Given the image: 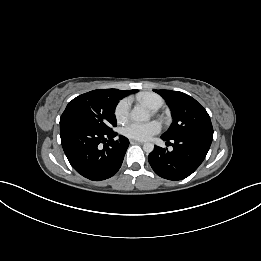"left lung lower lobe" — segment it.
Segmentation results:
<instances>
[{
    "label": "left lung lower lobe",
    "mask_w": 261,
    "mask_h": 261,
    "mask_svg": "<svg viewBox=\"0 0 261 261\" xmlns=\"http://www.w3.org/2000/svg\"><path fill=\"white\" fill-rule=\"evenodd\" d=\"M161 138L172 145L173 150L155 146L148 161L157 175L173 181L191 175L205 159L212 142V137L203 135H186L171 140Z\"/></svg>",
    "instance_id": "obj_1"
}]
</instances>
